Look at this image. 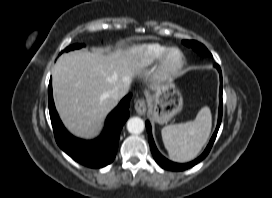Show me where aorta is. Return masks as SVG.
Returning <instances> with one entry per match:
<instances>
[{
  "instance_id": "aorta-1",
  "label": "aorta",
  "mask_w": 272,
  "mask_h": 198,
  "mask_svg": "<svg viewBox=\"0 0 272 198\" xmlns=\"http://www.w3.org/2000/svg\"><path fill=\"white\" fill-rule=\"evenodd\" d=\"M145 127L144 121L139 117L130 118L127 122V130L132 134H140Z\"/></svg>"
}]
</instances>
